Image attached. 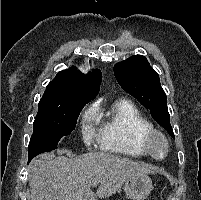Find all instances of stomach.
<instances>
[{
	"mask_svg": "<svg viewBox=\"0 0 201 200\" xmlns=\"http://www.w3.org/2000/svg\"><path fill=\"white\" fill-rule=\"evenodd\" d=\"M126 195L132 200H145L152 190V181L147 175L132 177L123 187Z\"/></svg>",
	"mask_w": 201,
	"mask_h": 200,
	"instance_id": "stomach-1",
	"label": "stomach"
}]
</instances>
